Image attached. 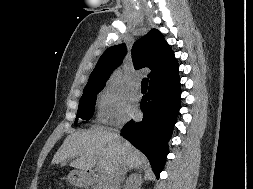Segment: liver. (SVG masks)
Here are the masks:
<instances>
[{
    "mask_svg": "<svg viewBox=\"0 0 253 189\" xmlns=\"http://www.w3.org/2000/svg\"><path fill=\"white\" fill-rule=\"evenodd\" d=\"M71 167L87 171L95 165L108 176L116 166H142L146 158L129 141L108 131L84 130L67 136L53 157L52 164L65 165L71 158Z\"/></svg>",
    "mask_w": 253,
    "mask_h": 189,
    "instance_id": "liver-1",
    "label": "liver"
}]
</instances>
